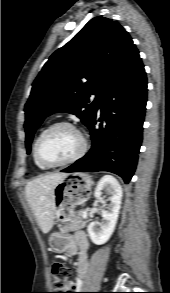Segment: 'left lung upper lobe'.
<instances>
[{"instance_id": "obj_1", "label": "left lung upper lobe", "mask_w": 170, "mask_h": 293, "mask_svg": "<svg viewBox=\"0 0 170 293\" xmlns=\"http://www.w3.org/2000/svg\"><path fill=\"white\" fill-rule=\"evenodd\" d=\"M134 46L118 22L98 16L54 52L25 105L27 153L36 129L52 113L77 115L88 126L111 77ZM91 95H96L94 100Z\"/></svg>"}]
</instances>
